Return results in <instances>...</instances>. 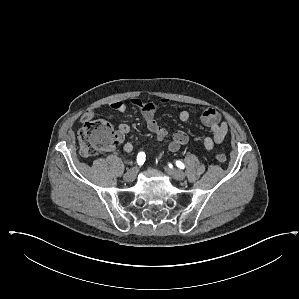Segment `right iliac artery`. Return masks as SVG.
Returning a JSON list of instances; mask_svg holds the SVG:
<instances>
[{
	"instance_id": "1",
	"label": "right iliac artery",
	"mask_w": 299,
	"mask_h": 299,
	"mask_svg": "<svg viewBox=\"0 0 299 299\" xmlns=\"http://www.w3.org/2000/svg\"><path fill=\"white\" fill-rule=\"evenodd\" d=\"M144 162H145V153L139 152L137 155V163L138 165H143Z\"/></svg>"
}]
</instances>
